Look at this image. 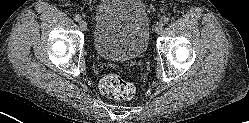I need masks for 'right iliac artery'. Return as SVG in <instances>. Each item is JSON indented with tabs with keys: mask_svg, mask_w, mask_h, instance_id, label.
Returning a JSON list of instances; mask_svg holds the SVG:
<instances>
[{
	"mask_svg": "<svg viewBox=\"0 0 249 123\" xmlns=\"http://www.w3.org/2000/svg\"><path fill=\"white\" fill-rule=\"evenodd\" d=\"M74 20H75L76 22H79V21L81 20V16H80V15H75V16H74Z\"/></svg>",
	"mask_w": 249,
	"mask_h": 123,
	"instance_id": "obj_1",
	"label": "right iliac artery"
}]
</instances>
